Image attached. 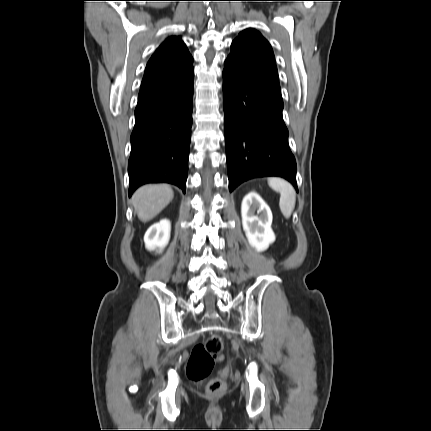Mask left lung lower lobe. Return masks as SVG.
I'll return each instance as SVG.
<instances>
[{
    "mask_svg": "<svg viewBox=\"0 0 431 431\" xmlns=\"http://www.w3.org/2000/svg\"><path fill=\"white\" fill-rule=\"evenodd\" d=\"M223 106L230 192L266 176L283 177L298 191L281 91L224 68Z\"/></svg>",
    "mask_w": 431,
    "mask_h": 431,
    "instance_id": "1",
    "label": "left lung lower lobe"
}]
</instances>
